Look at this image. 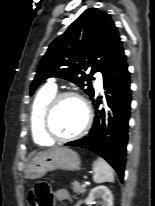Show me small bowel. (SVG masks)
<instances>
[{
	"label": "small bowel",
	"mask_w": 155,
	"mask_h": 206,
	"mask_svg": "<svg viewBox=\"0 0 155 206\" xmlns=\"http://www.w3.org/2000/svg\"><path fill=\"white\" fill-rule=\"evenodd\" d=\"M54 197L59 203H62V204L66 203L70 200L69 192L66 190H63V189L55 191ZM30 206H38V205L30 203Z\"/></svg>",
	"instance_id": "1"
}]
</instances>
